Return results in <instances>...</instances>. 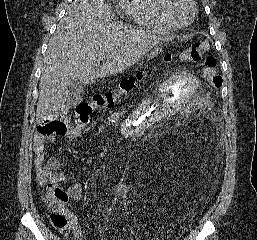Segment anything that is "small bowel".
Segmentation results:
<instances>
[{
	"label": "small bowel",
	"mask_w": 257,
	"mask_h": 240,
	"mask_svg": "<svg viewBox=\"0 0 257 240\" xmlns=\"http://www.w3.org/2000/svg\"><path fill=\"white\" fill-rule=\"evenodd\" d=\"M66 128L63 132L52 135H43L38 133L34 138V152L36 154L35 166L38 181L45 185L47 182L53 178L59 182H65L69 179L66 173L59 172L61 162L56 156L46 157L45 143L51 142L55 143L58 136H66L68 138H76L79 135V129L70 124H65ZM68 197L73 201H79L82 195V185L80 182H73L68 190ZM69 219V229L76 240H85L84 233L77 221V219L68 214ZM67 231V232H68ZM66 233V232H63ZM134 240H137L133 234H131Z\"/></svg>",
	"instance_id": "c3829d8e"
}]
</instances>
